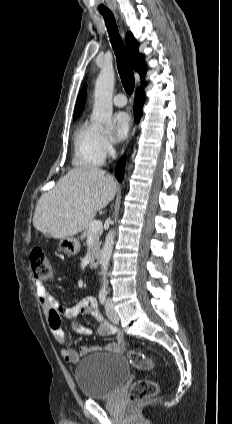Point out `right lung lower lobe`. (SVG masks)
<instances>
[{
  "mask_svg": "<svg viewBox=\"0 0 232 424\" xmlns=\"http://www.w3.org/2000/svg\"><path fill=\"white\" fill-rule=\"evenodd\" d=\"M144 104V92L142 88H138L135 95V102H134V115L135 119L139 121L141 115H142V107ZM125 156H123L117 163L116 169H115V175L119 181H122L124 169H125Z\"/></svg>",
  "mask_w": 232,
  "mask_h": 424,
  "instance_id": "right-lung-lower-lobe-1",
  "label": "right lung lower lobe"
}]
</instances>
